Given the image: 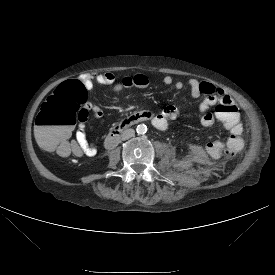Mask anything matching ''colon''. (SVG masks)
<instances>
[{
	"label": "colon",
	"mask_w": 275,
	"mask_h": 275,
	"mask_svg": "<svg viewBox=\"0 0 275 275\" xmlns=\"http://www.w3.org/2000/svg\"><path fill=\"white\" fill-rule=\"evenodd\" d=\"M147 88L150 78L146 74L126 76L122 82L112 85L115 95H122L126 89L136 86ZM88 96L87 87L80 80H70L61 83L42 104L36 118V138L45 150H57L61 154L78 151L77 145L68 141V134L78 123L86 122L89 111L85 106ZM216 118L223 128L232 130L242 122V115L234 103L224 101L219 103ZM234 155V154H233Z\"/></svg>",
	"instance_id": "colon-1"
}]
</instances>
